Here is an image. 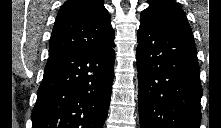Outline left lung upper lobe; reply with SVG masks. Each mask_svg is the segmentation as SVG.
I'll return each instance as SVG.
<instances>
[{"label": "left lung upper lobe", "instance_id": "1", "mask_svg": "<svg viewBox=\"0 0 221 128\" xmlns=\"http://www.w3.org/2000/svg\"><path fill=\"white\" fill-rule=\"evenodd\" d=\"M150 6L141 12L140 20L154 22L194 40L191 27L180 6L172 0H148Z\"/></svg>", "mask_w": 221, "mask_h": 128}]
</instances>
